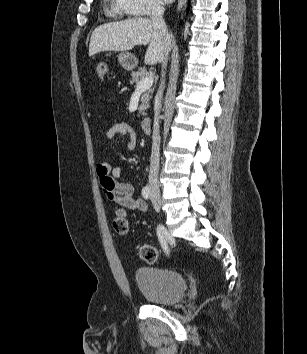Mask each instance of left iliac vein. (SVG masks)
Returning a JSON list of instances; mask_svg holds the SVG:
<instances>
[{
  "instance_id": "4c4485c4",
  "label": "left iliac vein",
  "mask_w": 307,
  "mask_h": 354,
  "mask_svg": "<svg viewBox=\"0 0 307 354\" xmlns=\"http://www.w3.org/2000/svg\"><path fill=\"white\" fill-rule=\"evenodd\" d=\"M154 209L159 212L160 211V201L156 200V198L152 199Z\"/></svg>"
}]
</instances>
